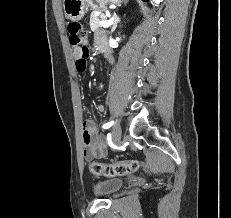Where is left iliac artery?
<instances>
[{
  "instance_id": "obj_1",
  "label": "left iliac artery",
  "mask_w": 231,
  "mask_h": 218,
  "mask_svg": "<svg viewBox=\"0 0 231 218\" xmlns=\"http://www.w3.org/2000/svg\"><path fill=\"white\" fill-rule=\"evenodd\" d=\"M113 121H110V122H108V123H105L102 127L104 128V129H107V128H109V127H111L112 125H113Z\"/></svg>"
}]
</instances>
